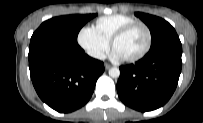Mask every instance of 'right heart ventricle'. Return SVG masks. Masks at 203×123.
<instances>
[{
	"instance_id": "obj_1",
	"label": "right heart ventricle",
	"mask_w": 203,
	"mask_h": 123,
	"mask_svg": "<svg viewBox=\"0 0 203 123\" xmlns=\"http://www.w3.org/2000/svg\"><path fill=\"white\" fill-rule=\"evenodd\" d=\"M137 22V19L127 14H113L97 19L96 30L108 41L124 26Z\"/></svg>"
}]
</instances>
